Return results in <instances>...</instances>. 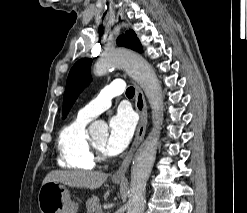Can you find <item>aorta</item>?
I'll use <instances>...</instances> for the list:
<instances>
[{
    "label": "aorta",
    "instance_id": "obj_1",
    "mask_svg": "<svg viewBox=\"0 0 247 213\" xmlns=\"http://www.w3.org/2000/svg\"><path fill=\"white\" fill-rule=\"evenodd\" d=\"M117 67L124 68L140 84L152 109L154 128L134 157L131 168L130 199L127 205V213H143L146 203V184L155 161L159 128L163 118L162 87L151 65L142 56L127 49L104 52L95 64L94 74L103 76L109 69ZM105 129L107 125L100 121L93 122L89 127L91 135Z\"/></svg>",
    "mask_w": 247,
    "mask_h": 213
}]
</instances>
